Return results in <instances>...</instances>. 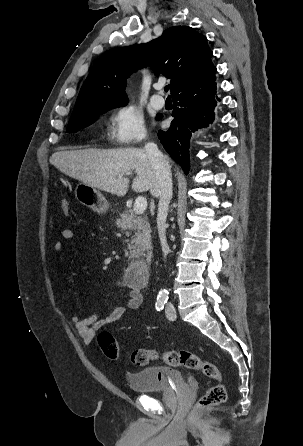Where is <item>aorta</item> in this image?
I'll return each instance as SVG.
<instances>
[{
    "label": "aorta",
    "mask_w": 303,
    "mask_h": 446,
    "mask_svg": "<svg viewBox=\"0 0 303 446\" xmlns=\"http://www.w3.org/2000/svg\"><path fill=\"white\" fill-rule=\"evenodd\" d=\"M159 296L162 298V299H165L166 297H167V291L164 289V290H162L160 293H159Z\"/></svg>",
    "instance_id": "1"
}]
</instances>
